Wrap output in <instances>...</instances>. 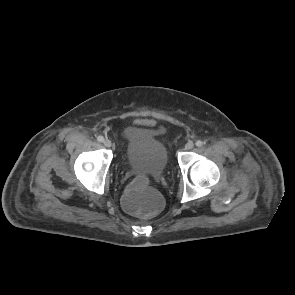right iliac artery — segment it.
<instances>
[{
	"instance_id": "obj_1",
	"label": "right iliac artery",
	"mask_w": 295,
	"mask_h": 295,
	"mask_svg": "<svg viewBox=\"0 0 295 295\" xmlns=\"http://www.w3.org/2000/svg\"><path fill=\"white\" fill-rule=\"evenodd\" d=\"M97 140H98L99 142H103V141H104V137H103V136H98V137H97Z\"/></svg>"
}]
</instances>
